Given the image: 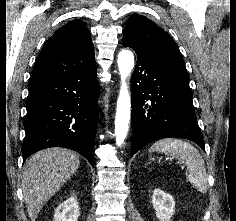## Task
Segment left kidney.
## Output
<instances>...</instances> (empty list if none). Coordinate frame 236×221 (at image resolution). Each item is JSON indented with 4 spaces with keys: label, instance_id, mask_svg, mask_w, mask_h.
<instances>
[{
    "label": "left kidney",
    "instance_id": "obj_1",
    "mask_svg": "<svg viewBox=\"0 0 236 221\" xmlns=\"http://www.w3.org/2000/svg\"><path fill=\"white\" fill-rule=\"evenodd\" d=\"M152 205L160 221H171L175 212V201L170 194L157 188L153 191Z\"/></svg>",
    "mask_w": 236,
    "mask_h": 221
}]
</instances>
